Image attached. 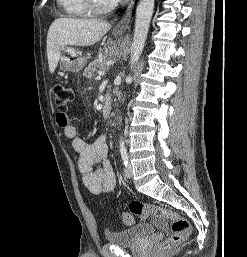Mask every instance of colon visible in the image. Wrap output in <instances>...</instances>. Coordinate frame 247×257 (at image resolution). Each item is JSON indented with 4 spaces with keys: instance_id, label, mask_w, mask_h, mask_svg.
<instances>
[{
    "instance_id": "obj_1",
    "label": "colon",
    "mask_w": 247,
    "mask_h": 257,
    "mask_svg": "<svg viewBox=\"0 0 247 257\" xmlns=\"http://www.w3.org/2000/svg\"><path fill=\"white\" fill-rule=\"evenodd\" d=\"M54 93L58 114L66 117L69 107L74 101V91L65 84H57L54 88ZM149 216L157 220H169L171 223L172 233L161 246V250L164 252L182 244L191 233L190 223L184 216L164 207L137 200L130 203L129 212L122 213L120 220L125 225H131L134 223L135 217L146 219Z\"/></svg>"
}]
</instances>
